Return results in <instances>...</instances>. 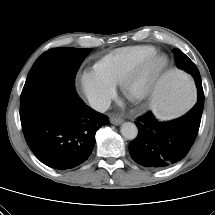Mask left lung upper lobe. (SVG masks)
Segmentation results:
<instances>
[{"instance_id":"5c2ea615","label":"left lung upper lobe","mask_w":215,"mask_h":215,"mask_svg":"<svg viewBox=\"0 0 215 215\" xmlns=\"http://www.w3.org/2000/svg\"><path fill=\"white\" fill-rule=\"evenodd\" d=\"M173 52L177 66L193 76L198 89L202 87L200 73L196 65L181 50L174 49Z\"/></svg>"}]
</instances>
